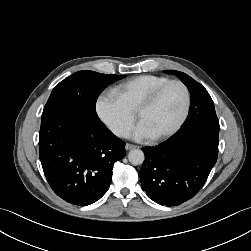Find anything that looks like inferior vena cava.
Wrapping results in <instances>:
<instances>
[{
	"label": "inferior vena cava",
	"mask_w": 251,
	"mask_h": 251,
	"mask_svg": "<svg viewBox=\"0 0 251 251\" xmlns=\"http://www.w3.org/2000/svg\"><path fill=\"white\" fill-rule=\"evenodd\" d=\"M113 132H114L115 135H117L119 137H124V138H127L130 135V133H129V131L127 129L121 128V127L114 128Z\"/></svg>",
	"instance_id": "inferior-vena-cava-1"
}]
</instances>
